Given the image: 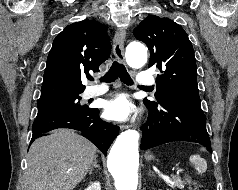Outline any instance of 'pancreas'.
<instances>
[{
    "label": "pancreas",
    "instance_id": "cf45deb5",
    "mask_svg": "<svg viewBox=\"0 0 238 190\" xmlns=\"http://www.w3.org/2000/svg\"><path fill=\"white\" fill-rule=\"evenodd\" d=\"M171 187L183 188L184 184L180 177L173 178L172 181L169 182Z\"/></svg>",
    "mask_w": 238,
    "mask_h": 190
}]
</instances>
